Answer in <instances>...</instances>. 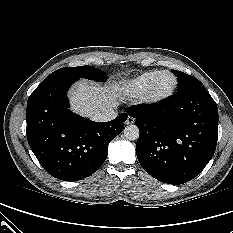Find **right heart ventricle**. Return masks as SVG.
Segmentation results:
<instances>
[{"label":"right heart ventricle","mask_w":233,"mask_h":233,"mask_svg":"<svg viewBox=\"0 0 233 233\" xmlns=\"http://www.w3.org/2000/svg\"><path fill=\"white\" fill-rule=\"evenodd\" d=\"M160 70H148L122 82L120 90L127 96H142L152 79Z\"/></svg>","instance_id":"obj_1"}]
</instances>
